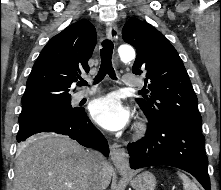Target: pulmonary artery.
<instances>
[{
  "instance_id": "obj_1",
  "label": "pulmonary artery",
  "mask_w": 221,
  "mask_h": 190,
  "mask_svg": "<svg viewBox=\"0 0 221 190\" xmlns=\"http://www.w3.org/2000/svg\"><path fill=\"white\" fill-rule=\"evenodd\" d=\"M122 84L126 87H140L142 85V81L137 76L126 73L122 76ZM98 92H99L98 86H92L83 89L74 94L73 101L79 102L82 99L93 96Z\"/></svg>"
}]
</instances>
